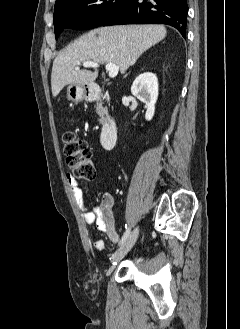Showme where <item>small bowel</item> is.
I'll use <instances>...</instances> for the list:
<instances>
[{"mask_svg": "<svg viewBox=\"0 0 240 329\" xmlns=\"http://www.w3.org/2000/svg\"><path fill=\"white\" fill-rule=\"evenodd\" d=\"M67 182L74 199L79 205L84 221L88 225L95 224L100 232L108 235L109 239L114 242H119V235L115 229V220L111 211L112 201L106 199L101 205L87 207L84 202V195L80 184L70 175H67ZM97 251H101L105 247L102 240H96L93 243Z\"/></svg>", "mask_w": 240, "mask_h": 329, "instance_id": "c3829d8e", "label": "small bowel"}]
</instances>
